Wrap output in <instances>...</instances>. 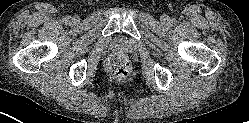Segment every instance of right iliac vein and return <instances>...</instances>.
<instances>
[{
  "label": "right iliac vein",
  "mask_w": 249,
  "mask_h": 123,
  "mask_svg": "<svg viewBox=\"0 0 249 123\" xmlns=\"http://www.w3.org/2000/svg\"><path fill=\"white\" fill-rule=\"evenodd\" d=\"M73 20H74L75 22H77V21H78V18H77V17H74Z\"/></svg>",
  "instance_id": "1"
}]
</instances>
